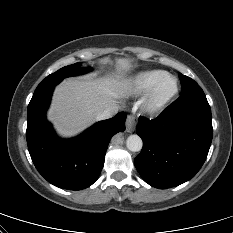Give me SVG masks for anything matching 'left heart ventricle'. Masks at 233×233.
Listing matches in <instances>:
<instances>
[{"mask_svg":"<svg viewBox=\"0 0 233 233\" xmlns=\"http://www.w3.org/2000/svg\"><path fill=\"white\" fill-rule=\"evenodd\" d=\"M172 89V83L170 81H166L160 90L161 95H165L166 93H168L170 90Z\"/></svg>","mask_w":233,"mask_h":233,"instance_id":"b2bd125f","label":"left heart ventricle"}]
</instances>
